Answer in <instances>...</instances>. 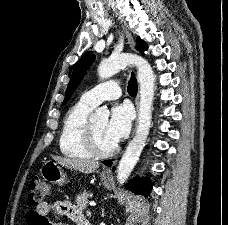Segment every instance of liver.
<instances>
[{"label": "liver", "mask_w": 228, "mask_h": 225, "mask_svg": "<svg viewBox=\"0 0 228 225\" xmlns=\"http://www.w3.org/2000/svg\"><path fill=\"white\" fill-rule=\"evenodd\" d=\"M59 165H63L66 169L80 171V173H92L99 169L97 161H84V159H63V157H52Z\"/></svg>", "instance_id": "liver-1"}]
</instances>
